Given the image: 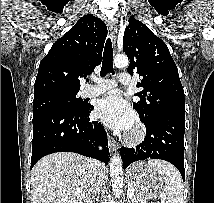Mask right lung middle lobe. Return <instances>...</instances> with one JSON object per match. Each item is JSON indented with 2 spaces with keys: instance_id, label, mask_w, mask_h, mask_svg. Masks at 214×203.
Wrapping results in <instances>:
<instances>
[{
  "instance_id": "dd1d6c3e",
  "label": "right lung middle lobe",
  "mask_w": 214,
  "mask_h": 203,
  "mask_svg": "<svg viewBox=\"0 0 214 203\" xmlns=\"http://www.w3.org/2000/svg\"><path fill=\"white\" fill-rule=\"evenodd\" d=\"M88 105L77 93H53L33 100V117L51 110H85Z\"/></svg>"
}]
</instances>
